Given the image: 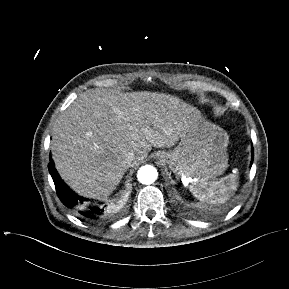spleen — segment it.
Here are the masks:
<instances>
[{
  "mask_svg": "<svg viewBox=\"0 0 289 289\" xmlns=\"http://www.w3.org/2000/svg\"><path fill=\"white\" fill-rule=\"evenodd\" d=\"M238 185V173L235 170L218 181L200 179L190 186V191L201 202L223 204L234 194Z\"/></svg>",
  "mask_w": 289,
  "mask_h": 289,
  "instance_id": "obj_1",
  "label": "spleen"
}]
</instances>
